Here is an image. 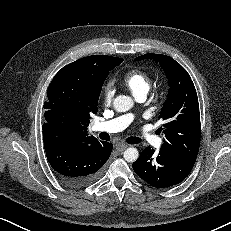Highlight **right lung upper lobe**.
<instances>
[{"label":"right lung upper lobe","instance_id":"obj_1","mask_svg":"<svg viewBox=\"0 0 231 231\" xmlns=\"http://www.w3.org/2000/svg\"><path fill=\"white\" fill-rule=\"evenodd\" d=\"M109 58L107 55H93L77 60L91 66L94 73L102 67V62ZM97 113V105L93 106L89 114L71 113L66 118H59L52 115L45 116V123L52 128L56 136L66 142L73 144H91L99 142L94 136L87 135V126L90 116Z\"/></svg>","mask_w":231,"mask_h":231}]
</instances>
